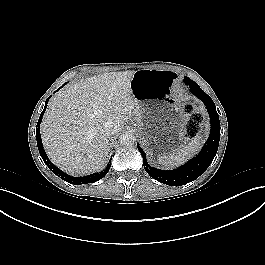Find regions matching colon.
<instances>
[{"label":"colon","mask_w":265,"mask_h":265,"mask_svg":"<svg viewBox=\"0 0 265 265\" xmlns=\"http://www.w3.org/2000/svg\"><path fill=\"white\" fill-rule=\"evenodd\" d=\"M183 112L188 117L185 136L193 138L197 136L201 130L203 115L190 103L183 106Z\"/></svg>","instance_id":"obj_1"}]
</instances>
